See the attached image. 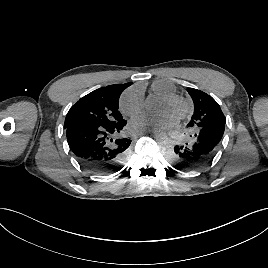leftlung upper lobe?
Returning a JSON list of instances; mask_svg holds the SVG:
<instances>
[{"mask_svg":"<svg viewBox=\"0 0 268 268\" xmlns=\"http://www.w3.org/2000/svg\"><path fill=\"white\" fill-rule=\"evenodd\" d=\"M187 91L194 103V113L187 124L192 132L212 124L226 123L219 104L211 96L194 88H188Z\"/></svg>","mask_w":268,"mask_h":268,"instance_id":"left-lung-upper-lobe-1","label":"left lung upper lobe"}]
</instances>
